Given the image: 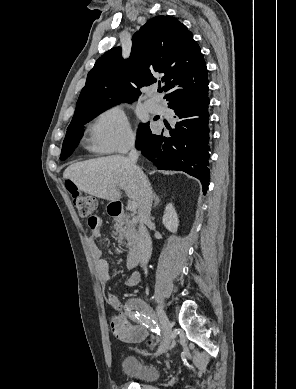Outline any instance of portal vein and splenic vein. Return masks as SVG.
<instances>
[{"mask_svg": "<svg viewBox=\"0 0 296 389\" xmlns=\"http://www.w3.org/2000/svg\"><path fill=\"white\" fill-rule=\"evenodd\" d=\"M127 209L129 210V211H135L136 209H137V203L136 202H134V201H130V202H128V204H127Z\"/></svg>", "mask_w": 296, "mask_h": 389, "instance_id": "1", "label": "portal vein and splenic vein"}]
</instances>
